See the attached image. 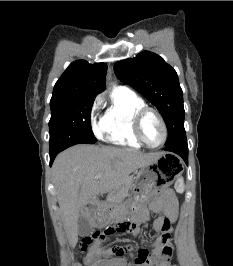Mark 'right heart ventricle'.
Here are the masks:
<instances>
[{
    "label": "right heart ventricle",
    "instance_id": "e07e8e85",
    "mask_svg": "<svg viewBox=\"0 0 233 266\" xmlns=\"http://www.w3.org/2000/svg\"><path fill=\"white\" fill-rule=\"evenodd\" d=\"M144 106V100L133 90L124 86L115 87L103 116L106 141L114 145L141 148L142 144L133 133V118L137 110Z\"/></svg>",
    "mask_w": 233,
    "mask_h": 266
}]
</instances>
